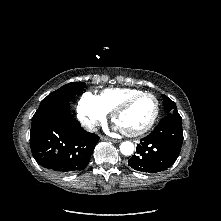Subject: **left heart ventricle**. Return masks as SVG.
<instances>
[{"label":"left heart ventricle","instance_id":"left-heart-ventricle-1","mask_svg":"<svg viewBox=\"0 0 221 221\" xmlns=\"http://www.w3.org/2000/svg\"><path fill=\"white\" fill-rule=\"evenodd\" d=\"M154 111L155 100L151 96L141 97L119 114L117 125L124 131H137L148 124Z\"/></svg>","mask_w":221,"mask_h":221}]
</instances>
